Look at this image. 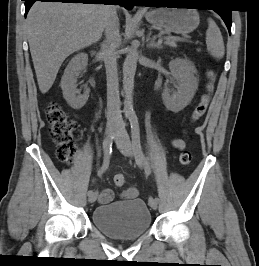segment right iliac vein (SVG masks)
<instances>
[{
  "label": "right iliac vein",
  "instance_id": "1",
  "mask_svg": "<svg viewBox=\"0 0 259 266\" xmlns=\"http://www.w3.org/2000/svg\"><path fill=\"white\" fill-rule=\"evenodd\" d=\"M117 128H118L117 122L115 121L110 122L106 128V138L114 135L117 131ZM96 198H97V193L93 192L91 195L88 196V201L90 203H93L96 201Z\"/></svg>",
  "mask_w": 259,
  "mask_h": 266
}]
</instances>
